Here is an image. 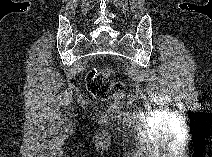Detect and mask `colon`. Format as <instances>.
Segmentation results:
<instances>
[{
	"mask_svg": "<svg viewBox=\"0 0 212 157\" xmlns=\"http://www.w3.org/2000/svg\"><path fill=\"white\" fill-rule=\"evenodd\" d=\"M112 71L108 69L92 71L87 75L88 91L96 98L107 100L121 95L124 92L122 82L111 80Z\"/></svg>",
	"mask_w": 212,
	"mask_h": 157,
	"instance_id": "5ec220e1",
	"label": "colon"
}]
</instances>
